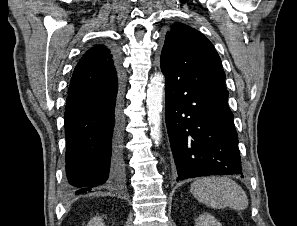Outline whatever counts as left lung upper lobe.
I'll return each mask as SVG.
<instances>
[{
	"instance_id": "5c2ea615",
	"label": "left lung upper lobe",
	"mask_w": 297,
	"mask_h": 226,
	"mask_svg": "<svg viewBox=\"0 0 297 226\" xmlns=\"http://www.w3.org/2000/svg\"><path fill=\"white\" fill-rule=\"evenodd\" d=\"M161 70L194 89H226L225 73L212 43L199 31L175 23L167 32Z\"/></svg>"
}]
</instances>
